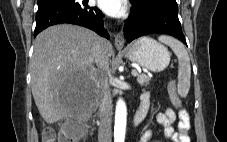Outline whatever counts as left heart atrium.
I'll list each match as a JSON object with an SVG mask.
<instances>
[{"instance_id":"1","label":"left heart atrium","mask_w":227,"mask_h":142,"mask_svg":"<svg viewBox=\"0 0 227 142\" xmlns=\"http://www.w3.org/2000/svg\"><path fill=\"white\" fill-rule=\"evenodd\" d=\"M97 6L106 14L121 16L125 8V0H96Z\"/></svg>"}]
</instances>
